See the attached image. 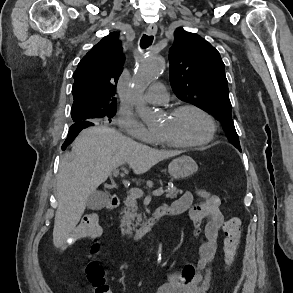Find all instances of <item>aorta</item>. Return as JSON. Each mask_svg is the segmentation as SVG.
Listing matches in <instances>:
<instances>
[{
    "label": "aorta",
    "instance_id": "aorta-1",
    "mask_svg": "<svg viewBox=\"0 0 293 293\" xmlns=\"http://www.w3.org/2000/svg\"><path fill=\"white\" fill-rule=\"evenodd\" d=\"M164 60L159 55L147 54L138 63L137 70L133 75L132 83L135 93H142L145 88L155 81L162 73ZM137 112L141 120L150 125L155 122V116L150 108L138 104Z\"/></svg>",
    "mask_w": 293,
    "mask_h": 293
}]
</instances>
